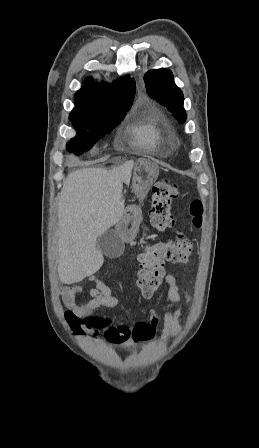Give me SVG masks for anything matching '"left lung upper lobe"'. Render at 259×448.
<instances>
[{"instance_id":"5c2ea615","label":"left lung upper lobe","mask_w":259,"mask_h":448,"mask_svg":"<svg viewBox=\"0 0 259 448\" xmlns=\"http://www.w3.org/2000/svg\"><path fill=\"white\" fill-rule=\"evenodd\" d=\"M147 92L174 114L180 123L186 120L184 96L176 86L172 72L165 68L148 71L144 76Z\"/></svg>"}]
</instances>
